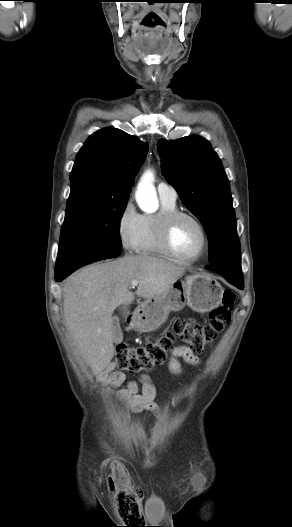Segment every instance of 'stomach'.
<instances>
[{
  "mask_svg": "<svg viewBox=\"0 0 292 527\" xmlns=\"http://www.w3.org/2000/svg\"><path fill=\"white\" fill-rule=\"evenodd\" d=\"M222 295L221 285L212 277L188 275L168 292L143 302L135 310L131 326L141 333L154 331L166 321L170 311H180L186 305L193 311L207 313L221 303Z\"/></svg>",
  "mask_w": 292,
  "mask_h": 527,
  "instance_id": "obj_1",
  "label": "stomach"
}]
</instances>
